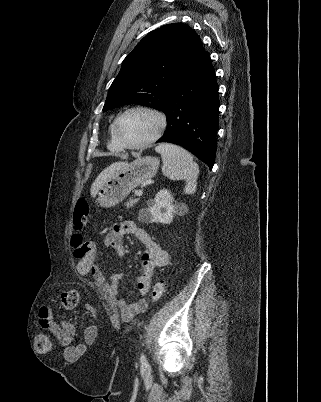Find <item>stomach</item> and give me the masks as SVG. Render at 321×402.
Returning <instances> with one entry per match:
<instances>
[{"mask_svg": "<svg viewBox=\"0 0 321 402\" xmlns=\"http://www.w3.org/2000/svg\"><path fill=\"white\" fill-rule=\"evenodd\" d=\"M159 164L158 158L144 156L116 171L97 191L98 204L109 208L122 202L131 190L155 176Z\"/></svg>", "mask_w": 321, "mask_h": 402, "instance_id": "obj_1", "label": "stomach"}]
</instances>
